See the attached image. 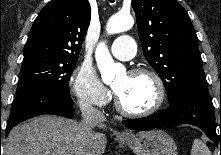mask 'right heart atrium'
<instances>
[{
    "mask_svg": "<svg viewBox=\"0 0 221 155\" xmlns=\"http://www.w3.org/2000/svg\"><path fill=\"white\" fill-rule=\"evenodd\" d=\"M69 85L73 95L80 104L102 108L111 100L110 91L90 66H79L73 72Z\"/></svg>",
    "mask_w": 221,
    "mask_h": 155,
    "instance_id": "d8ad5b80",
    "label": "right heart atrium"
}]
</instances>
